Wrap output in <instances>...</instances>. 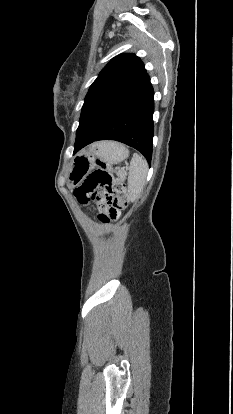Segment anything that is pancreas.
Segmentation results:
<instances>
[{
  "label": "pancreas",
  "instance_id": "obj_1",
  "mask_svg": "<svg viewBox=\"0 0 233 414\" xmlns=\"http://www.w3.org/2000/svg\"><path fill=\"white\" fill-rule=\"evenodd\" d=\"M117 175L120 176V177H122V178H124V176H125V174L123 172H121V171H118L117 172Z\"/></svg>",
  "mask_w": 233,
  "mask_h": 414
}]
</instances>
